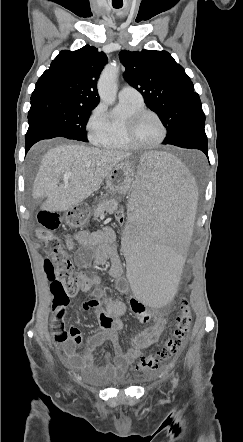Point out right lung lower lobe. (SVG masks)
<instances>
[{
	"mask_svg": "<svg viewBox=\"0 0 243 442\" xmlns=\"http://www.w3.org/2000/svg\"><path fill=\"white\" fill-rule=\"evenodd\" d=\"M54 137H65L69 139V135L64 130L53 125L43 122H34L29 124L25 137V152H27L36 142Z\"/></svg>",
	"mask_w": 243,
	"mask_h": 442,
	"instance_id": "obj_1",
	"label": "right lung lower lobe"
}]
</instances>
